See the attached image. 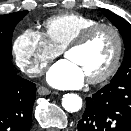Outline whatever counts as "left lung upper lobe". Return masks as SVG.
Segmentation results:
<instances>
[{"instance_id":"5c2ea615","label":"left lung upper lobe","mask_w":131,"mask_h":131,"mask_svg":"<svg viewBox=\"0 0 131 131\" xmlns=\"http://www.w3.org/2000/svg\"><path fill=\"white\" fill-rule=\"evenodd\" d=\"M100 10L118 28L123 37L126 49L122 65L111 82L114 83L124 79H131V25L125 19L113 14L110 11L105 9Z\"/></svg>"}]
</instances>
